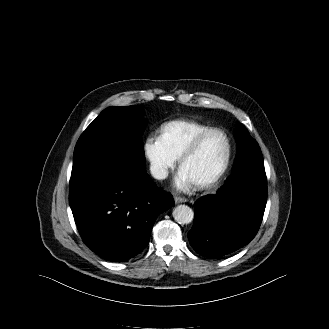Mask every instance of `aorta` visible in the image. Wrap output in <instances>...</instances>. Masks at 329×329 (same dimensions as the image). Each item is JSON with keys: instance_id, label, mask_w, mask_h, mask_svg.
<instances>
[{"instance_id": "obj_1", "label": "aorta", "mask_w": 329, "mask_h": 329, "mask_svg": "<svg viewBox=\"0 0 329 329\" xmlns=\"http://www.w3.org/2000/svg\"><path fill=\"white\" fill-rule=\"evenodd\" d=\"M173 218L179 224H189L194 218L193 210L187 205H178L173 210Z\"/></svg>"}]
</instances>
